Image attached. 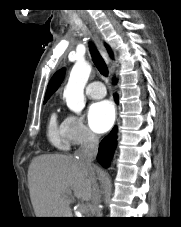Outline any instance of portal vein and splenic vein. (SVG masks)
<instances>
[{"label":"portal vein and splenic vein","mask_w":181,"mask_h":227,"mask_svg":"<svg viewBox=\"0 0 181 227\" xmlns=\"http://www.w3.org/2000/svg\"><path fill=\"white\" fill-rule=\"evenodd\" d=\"M86 209H87V207L85 205H83V206L80 207V210L81 211H85Z\"/></svg>","instance_id":"portal-vein-and-splenic-vein-1"}]
</instances>
